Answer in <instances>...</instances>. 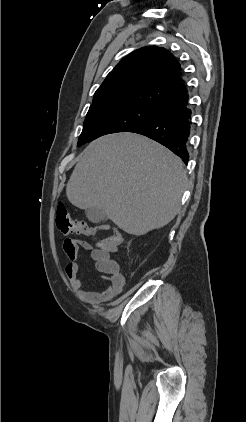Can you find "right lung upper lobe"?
<instances>
[{
	"label": "right lung upper lobe",
	"instance_id": "1",
	"mask_svg": "<svg viewBox=\"0 0 246 422\" xmlns=\"http://www.w3.org/2000/svg\"><path fill=\"white\" fill-rule=\"evenodd\" d=\"M187 93L181 66L165 48L148 46L123 58L94 94L93 106H157Z\"/></svg>",
	"mask_w": 246,
	"mask_h": 422
}]
</instances>
